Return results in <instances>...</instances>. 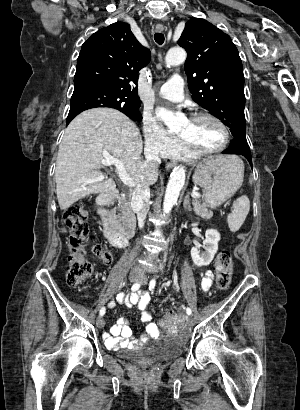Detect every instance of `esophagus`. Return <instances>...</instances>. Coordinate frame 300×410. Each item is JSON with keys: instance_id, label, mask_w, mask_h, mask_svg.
Instances as JSON below:
<instances>
[{"instance_id": "obj_1", "label": "esophagus", "mask_w": 300, "mask_h": 410, "mask_svg": "<svg viewBox=\"0 0 300 410\" xmlns=\"http://www.w3.org/2000/svg\"><path fill=\"white\" fill-rule=\"evenodd\" d=\"M156 31L161 32L164 30V26L163 25H156ZM175 166V163L173 162H167L166 163V168L167 169H172Z\"/></svg>"}]
</instances>
